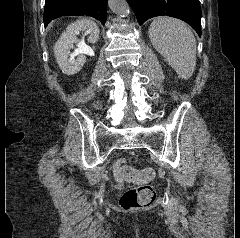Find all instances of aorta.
Listing matches in <instances>:
<instances>
[{
	"label": "aorta",
	"instance_id": "1",
	"mask_svg": "<svg viewBox=\"0 0 240 238\" xmlns=\"http://www.w3.org/2000/svg\"><path fill=\"white\" fill-rule=\"evenodd\" d=\"M108 6L115 14L127 17L130 13V8L126 0H109Z\"/></svg>",
	"mask_w": 240,
	"mask_h": 238
}]
</instances>
